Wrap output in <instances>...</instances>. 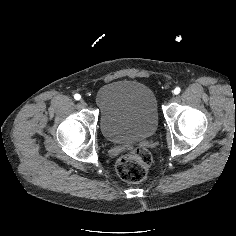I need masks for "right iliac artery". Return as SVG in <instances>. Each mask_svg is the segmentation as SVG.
Returning a JSON list of instances; mask_svg holds the SVG:
<instances>
[{
	"instance_id": "right-iliac-artery-1",
	"label": "right iliac artery",
	"mask_w": 236,
	"mask_h": 236,
	"mask_svg": "<svg viewBox=\"0 0 236 236\" xmlns=\"http://www.w3.org/2000/svg\"><path fill=\"white\" fill-rule=\"evenodd\" d=\"M74 98H75L76 100H80V99H81V96H80V94H77V93H76V94L74 95Z\"/></svg>"
}]
</instances>
